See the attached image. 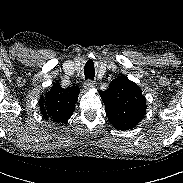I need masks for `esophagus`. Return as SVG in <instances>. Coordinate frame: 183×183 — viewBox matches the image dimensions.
Segmentation results:
<instances>
[{"label":"esophagus","instance_id":"esophagus-1","mask_svg":"<svg viewBox=\"0 0 183 183\" xmlns=\"http://www.w3.org/2000/svg\"><path fill=\"white\" fill-rule=\"evenodd\" d=\"M94 82L92 80H87L84 82V89L89 90L94 87Z\"/></svg>","mask_w":183,"mask_h":183}]
</instances>
